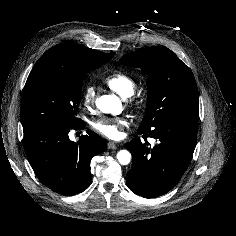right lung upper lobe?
Instances as JSON below:
<instances>
[{
	"label": "right lung upper lobe",
	"mask_w": 236,
	"mask_h": 236,
	"mask_svg": "<svg viewBox=\"0 0 236 236\" xmlns=\"http://www.w3.org/2000/svg\"><path fill=\"white\" fill-rule=\"evenodd\" d=\"M114 53H101L93 51L77 43H61L45 52L40 60L51 59L56 61L78 63L100 59H111Z\"/></svg>",
	"instance_id": "right-lung-upper-lobe-1"
}]
</instances>
